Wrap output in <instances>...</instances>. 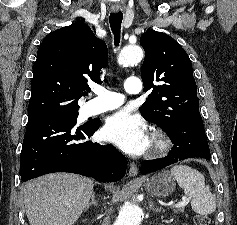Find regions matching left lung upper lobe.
Returning <instances> with one entry per match:
<instances>
[{
	"mask_svg": "<svg viewBox=\"0 0 237 225\" xmlns=\"http://www.w3.org/2000/svg\"><path fill=\"white\" fill-rule=\"evenodd\" d=\"M140 44L145 50L143 91L151 90L140 111L146 120L167 132L199 110L192 64L181 45L165 33L147 31Z\"/></svg>",
	"mask_w": 237,
	"mask_h": 225,
	"instance_id": "obj_1",
	"label": "left lung upper lobe"
}]
</instances>
